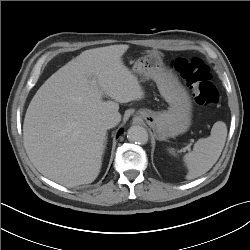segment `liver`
I'll list each match as a JSON object with an SVG mask.
<instances>
[{
    "mask_svg": "<svg viewBox=\"0 0 250 250\" xmlns=\"http://www.w3.org/2000/svg\"><path fill=\"white\" fill-rule=\"evenodd\" d=\"M128 48L120 44L83 51L32 98L23 140L31 162L45 177L75 187L99 175L107 139L102 119L120 115L118 103L144 98L138 78L122 61ZM104 96L112 100L104 101Z\"/></svg>",
    "mask_w": 250,
    "mask_h": 250,
    "instance_id": "obj_1",
    "label": "liver"
}]
</instances>
